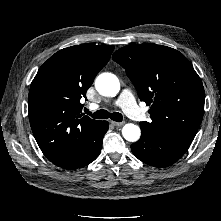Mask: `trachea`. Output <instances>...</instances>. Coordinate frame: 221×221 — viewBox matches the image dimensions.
<instances>
[{
	"label": "trachea",
	"mask_w": 221,
	"mask_h": 221,
	"mask_svg": "<svg viewBox=\"0 0 221 221\" xmlns=\"http://www.w3.org/2000/svg\"><path fill=\"white\" fill-rule=\"evenodd\" d=\"M86 113L91 115L95 119L110 118L111 120H114L116 122H122V120H123V116L121 113H118V112L109 113L108 111H106L104 109L98 110V111L94 112L93 114H91V112L86 109Z\"/></svg>",
	"instance_id": "3493384b"
}]
</instances>
